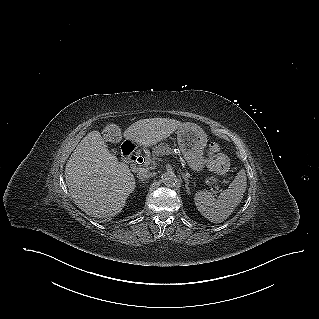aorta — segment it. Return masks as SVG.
<instances>
[{
	"instance_id": "762f6f07",
	"label": "aorta",
	"mask_w": 319,
	"mask_h": 319,
	"mask_svg": "<svg viewBox=\"0 0 319 319\" xmlns=\"http://www.w3.org/2000/svg\"><path fill=\"white\" fill-rule=\"evenodd\" d=\"M162 182L168 187H174L177 184V177L173 172H166L162 175Z\"/></svg>"
}]
</instances>
